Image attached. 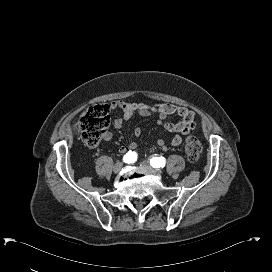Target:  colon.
<instances>
[{"mask_svg": "<svg viewBox=\"0 0 272 272\" xmlns=\"http://www.w3.org/2000/svg\"><path fill=\"white\" fill-rule=\"evenodd\" d=\"M109 104H96L85 110L74 124V131L88 146H96L110 124ZM200 141L190 136L185 142V155L190 163H197L201 157Z\"/></svg>", "mask_w": 272, "mask_h": 272, "instance_id": "5ec220e1", "label": "colon"}]
</instances>
